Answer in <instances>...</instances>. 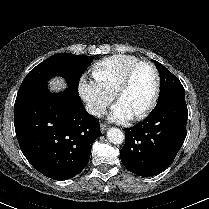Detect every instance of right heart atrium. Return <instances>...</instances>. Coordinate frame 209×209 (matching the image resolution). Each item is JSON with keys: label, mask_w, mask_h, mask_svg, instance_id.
<instances>
[{"label": "right heart atrium", "mask_w": 209, "mask_h": 209, "mask_svg": "<svg viewBox=\"0 0 209 209\" xmlns=\"http://www.w3.org/2000/svg\"><path fill=\"white\" fill-rule=\"evenodd\" d=\"M79 92L85 101L89 112L100 116L114 99V93L106 89L96 79L82 77L79 83Z\"/></svg>", "instance_id": "1"}]
</instances>
